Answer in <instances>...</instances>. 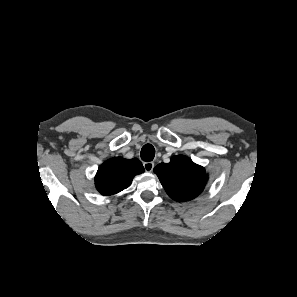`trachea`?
I'll return each instance as SVG.
<instances>
[{"label":"trachea","instance_id":"3493384b","mask_svg":"<svg viewBox=\"0 0 297 297\" xmlns=\"http://www.w3.org/2000/svg\"><path fill=\"white\" fill-rule=\"evenodd\" d=\"M140 155L143 161H152L155 156V149L151 144H146L142 147Z\"/></svg>","mask_w":297,"mask_h":297}]
</instances>
